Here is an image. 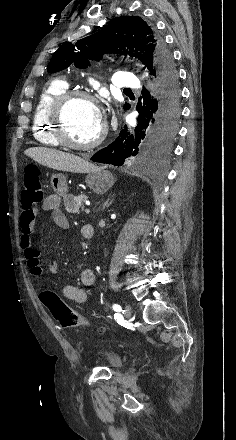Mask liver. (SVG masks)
Wrapping results in <instances>:
<instances>
[{"label": "liver", "instance_id": "liver-1", "mask_svg": "<svg viewBox=\"0 0 236 440\" xmlns=\"http://www.w3.org/2000/svg\"><path fill=\"white\" fill-rule=\"evenodd\" d=\"M25 154L39 164L59 171L88 173L96 168L81 157L45 147L27 149Z\"/></svg>", "mask_w": 236, "mask_h": 440}]
</instances>
